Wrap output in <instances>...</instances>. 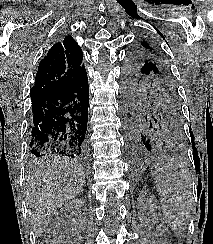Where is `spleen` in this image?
I'll return each mask as SVG.
<instances>
[{"label": "spleen", "mask_w": 213, "mask_h": 244, "mask_svg": "<svg viewBox=\"0 0 213 244\" xmlns=\"http://www.w3.org/2000/svg\"><path fill=\"white\" fill-rule=\"evenodd\" d=\"M153 175L167 225L175 232L184 231L192 205L190 179L180 164L169 157L156 160Z\"/></svg>", "instance_id": "3e777b00"}]
</instances>
